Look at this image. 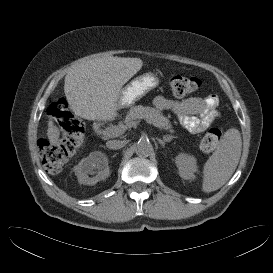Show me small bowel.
I'll list each match as a JSON object with an SVG mask.
<instances>
[{
    "mask_svg": "<svg viewBox=\"0 0 273 273\" xmlns=\"http://www.w3.org/2000/svg\"><path fill=\"white\" fill-rule=\"evenodd\" d=\"M153 104L160 111H172L182 126L193 134L204 132L220 116L217 109L219 100L214 94L184 101H174L164 96H157Z\"/></svg>",
    "mask_w": 273,
    "mask_h": 273,
    "instance_id": "obj_1",
    "label": "small bowel"
}]
</instances>
